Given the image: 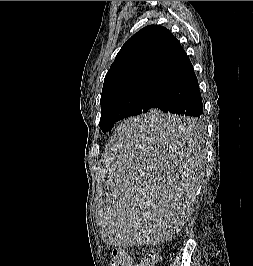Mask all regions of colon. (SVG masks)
Wrapping results in <instances>:
<instances>
[{"mask_svg": "<svg viewBox=\"0 0 253 266\" xmlns=\"http://www.w3.org/2000/svg\"><path fill=\"white\" fill-rule=\"evenodd\" d=\"M159 261V256L150 250H146L143 254L141 262L138 266H155ZM131 258L124 250H114L111 258V266H130Z\"/></svg>", "mask_w": 253, "mask_h": 266, "instance_id": "colon-1", "label": "colon"}]
</instances>
